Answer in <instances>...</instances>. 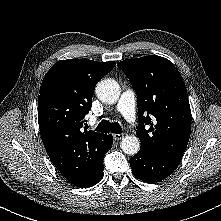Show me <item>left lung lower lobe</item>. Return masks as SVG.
Wrapping results in <instances>:
<instances>
[{
    "instance_id": "obj_1",
    "label": "left lung lower lobe",
    "mask_w": 221,
    "mask_h": 221,
    "mask_svg": "<svg viewBox=\"0 0 221 221\" xmlns=\"http://www.w3.org/2000/svg\"><path fill=\"white\" fill-rule=\"evenodd\" d=\"M179 163V160L157 157L141 150L130 159L133 174L147 183L165 179L172 174Z\"/></svg>"
}]
</instances>
